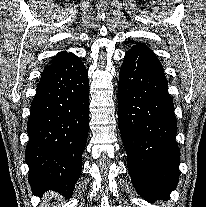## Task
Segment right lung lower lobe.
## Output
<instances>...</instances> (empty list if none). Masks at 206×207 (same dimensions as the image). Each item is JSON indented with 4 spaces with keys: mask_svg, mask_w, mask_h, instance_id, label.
Instances as JSON below:
<instances>
[{
    "mask_svg": "<svg viewBox=\"0 0 206 207\" xmlns=\"http://www.w3.org/2000/svg\"><path fill=\"white\" fill-rule=\"evenodd\" d=\"M88 72L75 55L47 66L31 104L25 160L34 194L72 196L89 124Z\"/></svg>",
    "mask_w": 206,
    "mask_h": 207,
    "instance_id": "right-lung-lower-lobe-1",
    "label": "right lung lower lobe"
}]
</instances>
